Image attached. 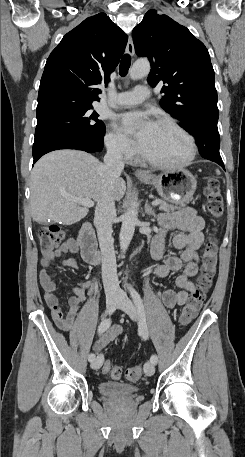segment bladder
<instances>
[{
    "label": "bladder",
    "instance_id": "31cf9c89",
    "mask_svg": "<svg viewBox=\"0 0 245 457\" xmlns=\"http://www.w3.org/2000/svg\"><path fill=\"white\" fill-rule=\"evenodd\" d=\"M99 391L101 395H134L138 388L124 382L108 381L99 385Z\"/></svg>",
    "mask_w": 245,
    "mask_h": 457
}]
</instances>
